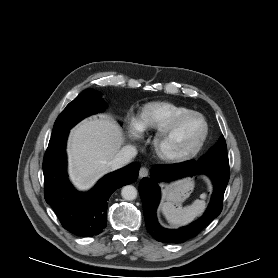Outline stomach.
Masks as SVG:
<instances>
[{
    "mask_svg": "<svg viewBox=\"0 0 278 278\" xmlns=\"http://www.w3.org/2000/svg\"><path fill=\"white\" fill-rule=\"evenodd\" d=\"M194 184L191 180H182L165 190V199L174 204L184 201L193 190Z\"/></svg>",
    "mask_w": 278,
    "mask_h": 278,
    "instance_id": "obj_1",
    "label": "stomach"
}]
</instances>
